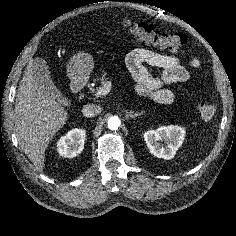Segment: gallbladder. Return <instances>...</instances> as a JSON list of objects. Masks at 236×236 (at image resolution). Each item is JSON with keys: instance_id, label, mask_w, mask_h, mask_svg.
<instances>
[{"instance_id": "1", "label": "gallbladder", "mask_w": 236, "mask_h": 236, "mask_svg": "<svg viewBox=\"0 0 236 236\" xmlns=\"http://www.w3.org/2000/svg\"><path fill=\"white\" fill-rule=\"evenodd\" d=\"M32 72L41 92L62 102V94L54 85L46 61L36 58L33 62Z\"/></svg>"}]
</instances>
